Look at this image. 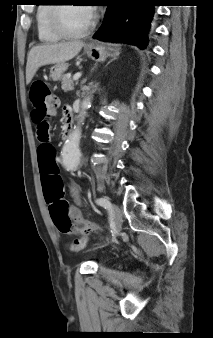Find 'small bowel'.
I'll return each mask as SVG.
<instances>
[{
  "mask_svg": "<svg viewBox=\"0 0 213 338\" xmlns=\"http://www.w3.org/2000/svg\"><path fill=\"white\" fill-rule=\"evenodd\" d=\"M71 113V107L69 105H65L63 107V114L65 116V119L67 120L68 115ZM46 123L47 120L45 121ZM43 146H48L50 147L49 144H42L41 148ZM39 172H40V177H41V182H42V187H43V192H44V199L45 203L48 206L50 216L51 215V207L59 202L64 201L62 198V191H63V182L60 176V169L59 165L55 159L54 156H50L49 158H46L42 151L39 153ZM71 192L74 196H78V189L75 186L71 187ZM65 202V201H64ZM69 212L72 214L74 218V222L76 225H81L83 224V219L79 213V211L73 207L69 206ZM53 220V218H52ZM54 221V220H53ZM55 223V222H54ZM56 227L58 228L59 231L63 233H70L71 232V224L69 220L67 219V223L63 227H59L55 223ZM92 230H95V227H93Z\"/></svg>",
  "mask_w": 213,
  "mask_h": 338,
  "instance_id": "c3829d8e",
  "label": "small bowel"
}]
</instances>
